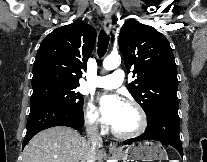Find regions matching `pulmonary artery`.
<instances>
[{"label": "pulmonary artery", "mask_w": 207, "mask_h": 162, "mask_svg": "<svg viewBox=\"0 0 207 162\" xmlns=\"http://www.w3.org/2000/svg\"><path fill=\"white\" fill-rule=\"evenodd\" d=\"M123 80H124L123 71L115 70L110 75L97 76L93 81V85L95 87L104 88V89H114L121 86Z\"/></svg>", "instance_id": "obj_1"}]
</instances>
